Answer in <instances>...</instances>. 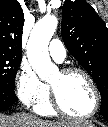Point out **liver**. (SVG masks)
<instances>
[{
	"label": "liver",
	"instance_id": "1",
	"mask_svg": "<svg viewBox=\"0 0 108 127\" xmlns=\"http://www.w3.org/2000/svg\"><path fill=\"white\" fill-rule=\"evenodd\" d=\"M88 121H49L42 120L27 113L12 116L0 114V127H82L89 126Z\"/></svg>",
	"mask_w": 108,
	"mask_h": 127
}]
</instances>
